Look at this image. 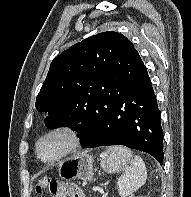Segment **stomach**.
Returning <instances> with one entry per match:
<instances>
[{
	"label": "stomach",
	"instance_id": "stomach-1",
	"mask_svg": "<svg viewBox=\"0 0 191 197\" xmlns=\"http://www.w3.org/2000/svg\"><path fill=\"white\" fill-rule=\"evenodd\" d=\"M101 167L105 172L114 173L124 167V164L114 160L108 150L101 155ZM59 176L64 179L90 180L93 176V158L86 152L79 153L64 162L59 168Z\"/></svg>",
	"mask_w": 191,
	"mask_h": 197
}]
</instances>
